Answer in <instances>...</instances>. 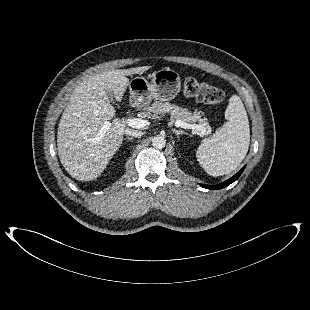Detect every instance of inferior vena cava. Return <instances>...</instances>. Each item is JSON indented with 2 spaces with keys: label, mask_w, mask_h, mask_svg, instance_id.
Wrapping results in <instances>:
<instances>
[{
  "label": "inferior vena cava",
  "mask_w": 310,
  "mask_h": 310,
  "mask_svg": "<svg viewBox=\"0 0 310 310\" xmlns=\"http://www.w3.org/2000/svg\"><path fill=\"white\" fill-rule=\"evenodd\" d=\"M125 134L131 137H141L143 132L135 129H126Z\"/></svg>",
  "instance_id": "obj_1"
}]
</instances>
